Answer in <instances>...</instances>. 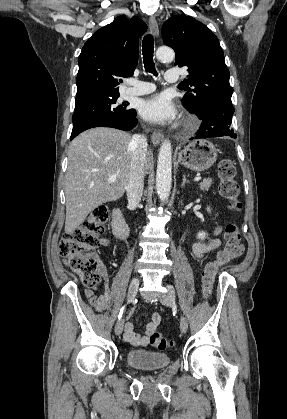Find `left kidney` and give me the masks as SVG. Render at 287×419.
I'll list each match as a JSON object with an SVG mask.
<instances>
[{"label": "left kidney", "mask_w": 287, "mask_h": 419, "mask_svg": "<svg viewBox=\"0 0 287 419\" xmlns=\"http://www.w3.org/2000/svg\"><path fill=\"white\" fill-rule=\"evenodd\" d=\"M207 211H208V212H210V211H211L209 207H207ZM206 235H207V234H206L205 232H203V231H202V232H199V233L197 234V238H198V239H202V240H203V239H205V238H206Z\"/></svg>", "instance_id": "5707ae66"}]
</instances>
